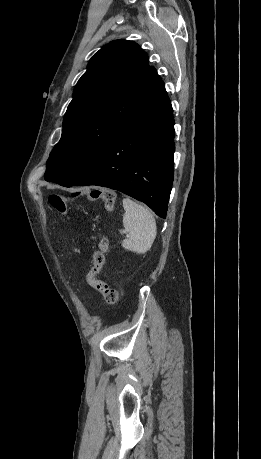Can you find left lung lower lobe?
Wrapping results in <instances>:
<instances>
[{
	"label": "left lung lower lobe",
	"mask_w": 261,
	"mask_h": 459,
	"mask_svg": "<svg viewBox=\"0 0 261 459\" xmlns=\"http://www.w3.org/2000/svg\"><path fill=\"white\" fill-rule=\"evenodd\" d=\"M162 82L85 166L60 183L121 191L166 217L173 182L174 119Z\"/></svg>",
	"instance_id": "1"
}]
</instances>
